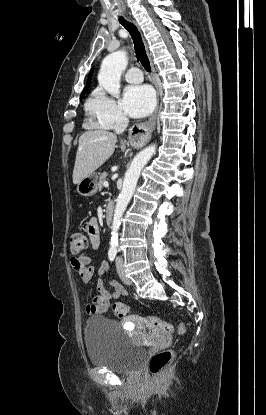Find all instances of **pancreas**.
<instances>
[{
  "mask_svg": "<svg viewBox=\"0 0 266 415\" xmlns=\"http://www.w3.org/2000/svg\"><path fill=\"white\" fill-rule=\"evenodd\" d=\"M106 178H107V173L103 172L100 175L98 183H97V187H98L99 190H101L103 188V183H104V181H106Z\"/></svg>",
  "mask_w": 266,
  "mask_h": 415,
  "instance_id": "obj_1",
  "label": "pancreas"
}]
</instances>
